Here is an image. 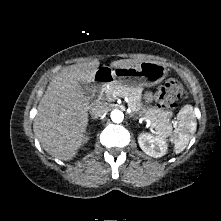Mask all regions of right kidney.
<instances>
[{
	"label": "right kidney",
	"mask_w": 221,
	"mask_h": 221,
	"mask_svg": "<svg viewBox=\"0 0 221 221\" xmlns=\"http://www.w3.org/2000/svg\"><path fill=\"white\" fill-rule=\"evenodd\" d=\"M89 138L86 136V137H84V139H82L80 142H79V145H81V143L83 142H87V140H88Z\"/></svg>",
	"instance_id": "ca27d5eb"
}]
</instances>
